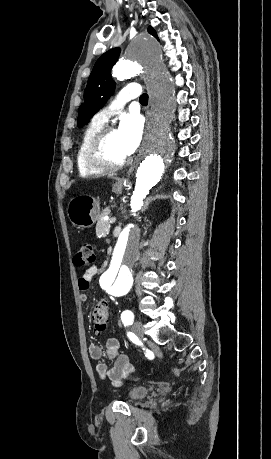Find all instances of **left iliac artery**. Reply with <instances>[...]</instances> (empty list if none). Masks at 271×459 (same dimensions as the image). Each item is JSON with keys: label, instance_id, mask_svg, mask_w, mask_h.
Listing matches in <instances>:
<instances>
[{"label": "left iliac artery", "instance_id": "left-iliac-artery-1", "mask_svg": "<svg viewBox=\"0 0 271 459\" xmlns=\"http://www.w3.org/2000/svg\"><path fill=\"white\" fill-rule=\"evenodd\" d=\"M121 320L125 326L131 325L134 320V314L130 310H125L121 314ZM126 332L128 333L129 331L127 330Z\"/></svg>", "mask_w": 271, "mask_h": 459}]
</instances>
